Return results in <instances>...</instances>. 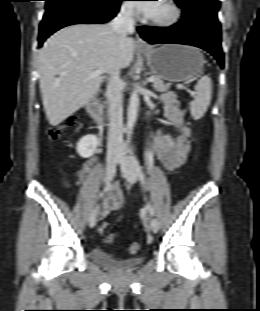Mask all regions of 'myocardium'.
I'll return each instance as SVG.
<instances>
[{
	"mask_svg": "<svg viewBox=\"0 0 260 311\" xmlns=\"http://www.w3.org/2000/svg\"><path fill=\"white\" fill-rule=\"evenodd\" d=\"M169 7L171 14L169 17L164 19H154L151 17H146L145 21L153 26L160 28H168L176 25L182 17V9L176 3L175 0H164Z\"/></svg>",
	"mask_w": 260,
	"mask_h": 311,
	"instance_id": "obj_1",
	"label": "myocardium"
}]
</instances>
